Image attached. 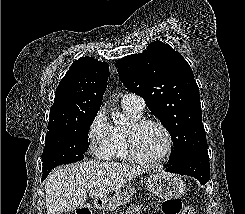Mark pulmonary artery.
Segmentation results:
<instances>
[{"label": "pulmonary artery", "instance_id": "obj_1", "mask_svg": "<svg viewBox=\"0 0 245 214\" xmlns=\"http://www.w3.org/2000/svg\"><path fill=\"white\" fill-rule=\"evenodd\" d=\"M123 105H129L137 109L138 111H143L145 107L144 100L135 94L127 93L122 98Z\"/></svg>", "mask_w": 245, "mask_h": 214}]
</instances>
